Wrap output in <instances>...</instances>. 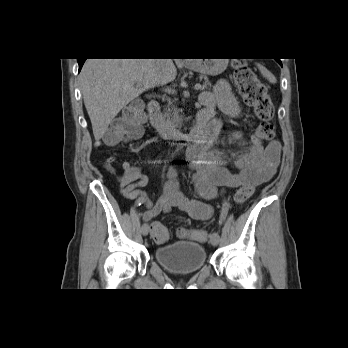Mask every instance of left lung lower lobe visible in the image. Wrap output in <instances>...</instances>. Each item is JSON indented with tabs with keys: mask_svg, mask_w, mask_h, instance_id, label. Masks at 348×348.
<instances>
[{
	"mask_svg": "<svg viewBox=\"0 0 348 348\" xmlns=\"http://www.w3.org/2000/svg\"><path fill=\"white\" fill-rule=\"evenodd\" d=\"M281 66H282V63H281V61L280 60H276Z\"/></svg>",
	"mask_w": 348,
	"mask_h": 348,
	"instance_id": "obj_1",
	"label": "left lung lower lobe"
}]
</instances>
